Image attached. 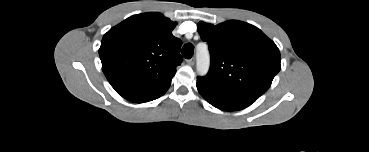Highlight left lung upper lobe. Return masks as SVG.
I'll return each mask as SVG.
<instances>
[{"label": "left lung upper lobe", "instance_id": "obj_1", "mask_svg": "<svg viewBox=\"0 0 369 152\" xmlns=\"http://www.w3.org/2000/svg\"><path fill=\"white\" fill-rule=\"evenodd\" d=\"M198 32L209 44L211 66L200 81L228 92L259 98L280 71L275 43L257 27L236 20L216 26L199 22Z\"/></svg>", "mask_w": 369, "mask_h": 152}]
</instances>
